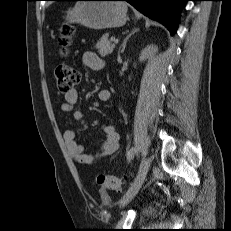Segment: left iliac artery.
Masks as SVG:
<instances>
[{"instance_id": "left-iliac-artery-1", "label": "left iliac artery", "mask_w": 231, "mask_h": 231, "mask_svg": "<svg viewBox=\"0 0 231 231\" xmlns=\"http://www.w3.org/2000/svg\"><path fill=\"white\" fill-rule=\"evenodd\" d=\"M137 153V148H135V147H132L129 151H128V153H127V160H128V162H130L132 159H133V157H134V155Z\"/></svg>"}]
</instances>
